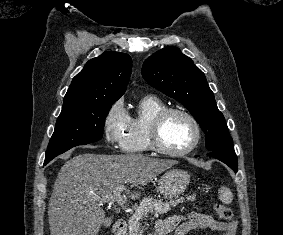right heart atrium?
<instances>
[{
    "label": "right heart atrium",
    "instance_id": "1",
    "mask_svg": "<svg viewBox=\"0 0 283 235\" xmlns=\"http://www.w3.org/2000/svg\"><path fill=\"white\" fill-rule=\"evenodd\" d=\"M128 125V114L122 100L116 101L109 109L105 121L104 132L107 142L113 146H121L123 133Z\"/></svg>",
    "mask_w": 283,
    "mask_h": 235
}]
</instances>
